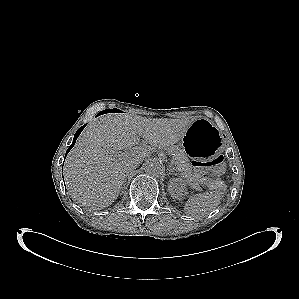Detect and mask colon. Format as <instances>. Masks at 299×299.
Here are the masks:
<instances>
[{"label": "colon", "mask_w": 299, "mask_h": 299, "mask_svg": "<svg viewBox=\"0 0 299 299\" xmlns=\"http://www.w3.org/2000/svg\"><path fill=\"white\" fill-rule=\"evenodd\" d=\"M193 167L199 179L207 182L221 175L225 169V160L223 155H218L206 162L193 161Z\"/></svg>", "instance_id": "5ec220e1"}]
</instances>
